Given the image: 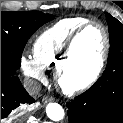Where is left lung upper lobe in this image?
Masks as SVG:
<instances>
[{"instance_id":"5c2ea615","label":"left lung upper lobe","mask_w":123,"mask_h":123,"mask_svg":"<svg viewBox=\"0 0 123 123\" xmlns=\"http://www.w3.org/2000/svg\"><path fill=\"white\" fill-rule=\"evenodd\" d=\"M106 18L109 25L110 50L106 69L98 79L103 84L123 77V24L108 13Z\"/></svg>"}]
</instances>
